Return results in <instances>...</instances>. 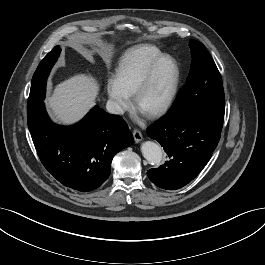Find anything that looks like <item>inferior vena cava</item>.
<instances>
[{
	"label": "inferior vena cava",
	"instance_id": "1",
	"mask_svg": "<svg viewBox=\"0 0 265 265\" xmlns=\"http://www.w3.org/2000/svg\"><path fill=\"white\" fill-rule=\"evenodd\" d=\"M106 109L111 114L119 115L124 113L123 108L116 101L113 100L107 101Z\"/></svg>",
	"mask_w": 265,
	"mask_h": 265
}]
</instances>
